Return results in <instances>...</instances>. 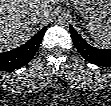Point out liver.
I'll return each instance as SVG.
<instances>
[{
	"label": "liver",
	"instance_id": "6515ba94",
	"mask_svg": "<svg viewBox=\"0 0 111 106\" xmlns=\"http://www.w3.org/2000/svg\"><path fill=\"white\" fill-rule=\"evenodd\" d=\"M57 3V0H1V50H10L23 44L38 24L46 22Z\"/></svg>",
	"mask_w": 111,
	"mask_h": 106
}]
</instances>
